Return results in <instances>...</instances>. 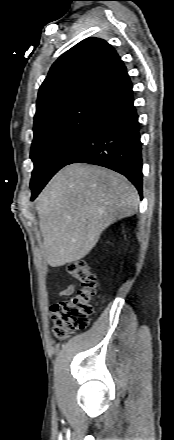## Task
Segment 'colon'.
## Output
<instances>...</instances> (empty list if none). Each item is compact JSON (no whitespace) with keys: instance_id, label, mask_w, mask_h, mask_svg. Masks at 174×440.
<instances>
[{"instance_id":"5ec220e1","label":"colon","mask_w":174,"mask_h":440,"mask_svg":"<svg viewBox=\"0 0 174 440\" xmlns=\"http://www.w3.org/2000/svg\"><path fill=\"white\" fill-rule=\"evenodd\" d=\"M68 272L81 283V287L66 300L51 307L54 334L58 338H65L70 331L88 326L92 302L98 289L96 276L86 262H71L68 265Z\"/></svg>"}]
</instances>
